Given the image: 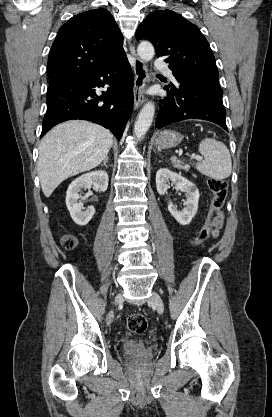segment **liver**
I'll list each match as a JSON object with an SVG mask.
<instances>
[{
  "mask_svg": "<svg viewBox=\"0 0 272 417\" xmlns=\"http://www.w3.org/2000/svg\"><path fill=\"white\" fill-rule=\"evenodd\" d=\"M113 143L111 132L80 120L51 129L39 145L38 175L48 198L67 178L89 171L107 157Z\"/></svg>",
  "mask_w": 272,
  "mask_h": 417,
  "instance_id": "6515ba94",
  "label": "liver"
}]
</instances>
